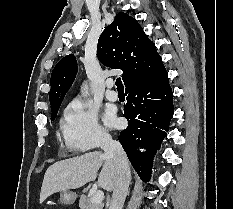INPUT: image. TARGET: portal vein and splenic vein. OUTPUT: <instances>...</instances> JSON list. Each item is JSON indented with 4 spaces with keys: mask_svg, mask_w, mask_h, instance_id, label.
<instances>
[{
    "mask_svg": "<svg viewBox=\"0 0 233 209\" xmlns=\"http://www.w3.org/2000/svg\"><path fill=\"white\" fill-rule=\"evenodd\" d=\"M104 199V192L101 190H97L94 195L91 197L92 203H102Z\"/></svg>",
    "mask_w": 233,
    "mask_h": 209,
    "instance_id": "obj_1",
    "label": "portal vein and splenic vein"
}]
</instances>
